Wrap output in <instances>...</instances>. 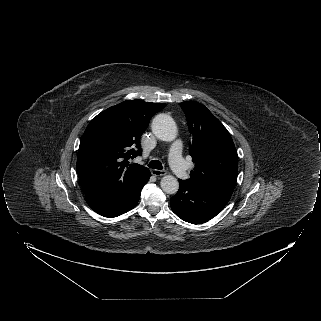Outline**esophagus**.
Returning <instances> with one entry per match:
<instances>
[{"label":"esophagus","mask_w":321,"mask_h":321,"mask_svg":"<svg viewBox=\"0 0 321 321\" xmlns=\"http://www.w3.org/2000/svg\"><path fill=\"white\" fill-rule=\"evenodd\" d=\"M151 173L154 176H164L167 174V172L165 170H158V169H152Z\"/></svg>","instance_id":"34e87169"}]
</instances>
